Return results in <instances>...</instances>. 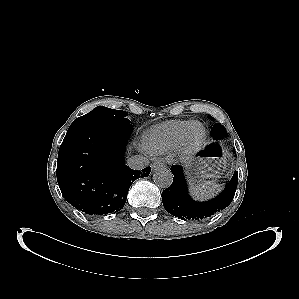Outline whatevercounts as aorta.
<instances>
[{
	"label": "aorta",
	"mask_w": 299,
	"mask_h": 299,
	"mask_svg": "<svg viewBox=\"0 0 299 299\" xmlns=\"http://www.w3.org/2000/svg\"><path fill=\"white\" fill-rule=\"evenodd\" d=\"M153 180L163 188L169 187L173 182V174L167 168H160L153 174Z\"/></svg>",
	"instance_id": "aorta-1"
}]
</instances>
